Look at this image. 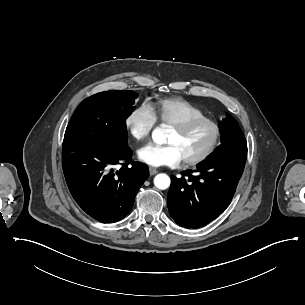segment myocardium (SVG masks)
Returning <instances> with one entry per match:
<instances>
[{"mask_svg":"<svg viewBox=\"0 0 305 305\" xmlns=\"http://www.w3.org/2000/svg\"><path fill=\"white\" fill-rule=\"evenodd\" d=\"M202 123H210L214 126L215 138L212 144L200 155L194 158L183 159V162L187 166L199 165L208 160L215 153V151L219 148L223 138V125L218 119L211 116L191 118L170 125V127L176 131L185 132Z\"/></svg>","mask_w":305,"mask_h":305,"instance_id":"myocardium-1","label":"myocardium"}]
</instances>
